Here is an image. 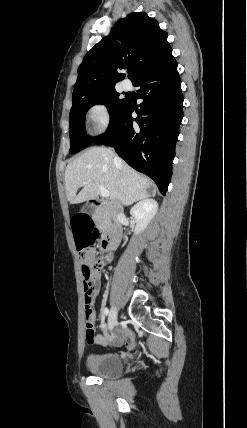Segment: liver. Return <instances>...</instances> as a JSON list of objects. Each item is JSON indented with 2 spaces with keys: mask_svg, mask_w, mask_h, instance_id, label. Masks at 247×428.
<instances>
[{
  "mask_svg": "<svg viewBox=\"0 0 247 428\" xmlns=\"http://www.w3.org/2000/svg\"><path fill=\"white\" fill-rule=\"evenodd\" d=\"M115 153L104 146L92 147L68 164L65 189L70 204L94 200L99 185L108 191L111 201L124 206L144 200L154 193L153 183L122 160L115 162ZM82 190L77 194V190Z\"/></svg>",
  "mask_w": 247,
  "mask_h": 428,
  "instance_id": "obj_1",
  "label": "liver"
}]
</instances>
